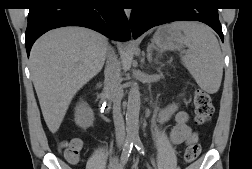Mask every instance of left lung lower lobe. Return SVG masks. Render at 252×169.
Returning a JSON list of instances; mask_svg holds the SVG:
<instances>
[{
	"instance_id": "left-lung-lower-lobe-1",
	"label": "left lung lower lobe",
	"mask_w": 252,
	"mask_h": 169,
	"mask_svg": "<svg viewBox=\"0 0 252 169\" xmlns=\"http://www.w3.org/2000/svg\"><path fill=\"white\" fill-rule=\"evenodd\" d=\"M151 9H133L130 26L134 38L152 27L173 21H200L213 28L223 41L218 18V7L214 0H164Z\"/></svg>"
}]
</instances>
